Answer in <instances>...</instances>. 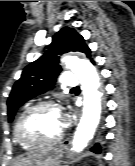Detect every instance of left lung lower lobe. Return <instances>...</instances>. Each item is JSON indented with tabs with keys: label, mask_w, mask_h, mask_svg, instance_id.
<instances>
[{
	"label": "left lung lower lobe",
	"mask_w": 135,
	"mask_h": 166,
	"mask_svg": "<svg viewBox=\"0 0 135 166\" xmlns=\"http://www.w3.org/2000/svg\"><path fill=\"white\" fill-rule=\"evenodd\" d=\"M91 62H92L93 64H95V62H94L93 60H91ZM91 150H92L93 152H95V153H100V152H101V147H100V145L97 143V144L94 145V147H92Z\"/></svg>",
	"instance_id": "left-lung-lower-lobe-1"
}]
</instances>
